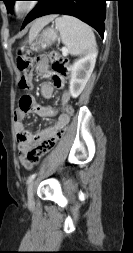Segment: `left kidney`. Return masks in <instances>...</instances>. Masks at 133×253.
Instances as JSON below:
<instances>
[{
    "label": "left kidney",
    "mask_w": 133,
    "mask_h": 253,
    "mask_svg": "<svg viewBox=\"0 0 133 253\" xmlns=\"http://www.w3.org/2000/svg\"><path fill=\"white\" fill-rule=\"evenodd\" d=\"M96 57L97 51L94 49L69 68L71 77L69 91L73 98L78 97L85 88L95 67Z\"/></svg>",
    "instance_id": "left-kidney-1"
}]
</instances>
